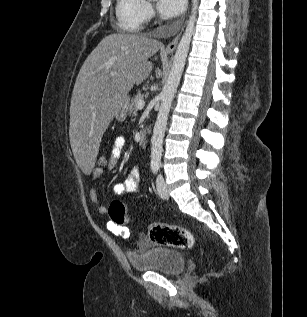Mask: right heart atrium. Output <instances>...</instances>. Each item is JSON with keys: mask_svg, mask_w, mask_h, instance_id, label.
<instances>
[{"mask_svg": "<svg viewBox=\"0 0 307 317\" xmlns=\"http://www.w3.org/2000/svg\"><path fill=\"white\" fill-rule=\"evenodd\" d=\"M154 16L153 7L150 3H145L144 6V17L145 20H150Z\"/></svg>", "mask_w": 307, "mask_h": 317, "instance_id": "right-heart-atrium-1", "label": "right heart atrium"}]
</instances>
